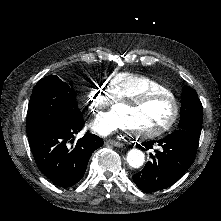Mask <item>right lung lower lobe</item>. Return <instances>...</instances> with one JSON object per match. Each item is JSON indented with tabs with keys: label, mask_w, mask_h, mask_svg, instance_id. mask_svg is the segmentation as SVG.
Returning <instances> with one entry per match:
<instances>
[{
	"label": "right lung lower lobe",
	"mask_w": 221,
	"mask_h": 221,
	"mask_svg": "<svg viewBox=\"0 0 221 221\" xmlns=\"http://www.w3.org/2000/svg\"><path fill=\"white\" fill-rule=\"evenodd\" d=\"M84 125L83 118L73 124L47 127L28 135L33 157L39 170L54 184L70 187L83 177L90 156L103 145V140L94 134H85L76 146L68 148L67 142Z\"/></svg>",
	"instance_id": "right-lung-lower-lobe-1"
}]
</instances>
